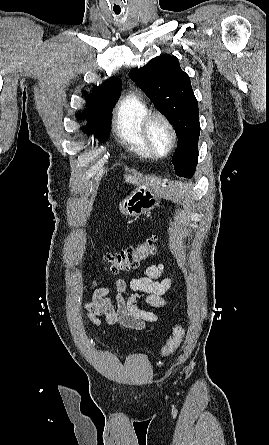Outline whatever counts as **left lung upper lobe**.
Wrapping results in <instances>:
<instances>
[{
    "label": "left lung upper lobe",
    "instance_id": "1",
    "mask_svg": "<svg viewBox=\"0 0 269 445\" xmlns=\"http://www.w3.org/2000/svg\"><path fill=\"white\" fill-rule=\"evenodd\" d=\"M129 77L175 128L179 143L172 163L177 175H192L198 160V102L178 58L168 54L156 57L142 68L132 69Z\"/></svg>",
    "mask_w": 269,
    "mask_h": 445
}]
</instances>
